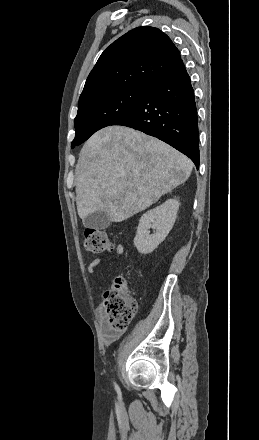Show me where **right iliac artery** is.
<instances>
[{"label": "right iliac artery", "instance_id": "82829eb1", "mask_svg": "<svg viewBox=\"0 0 259 440\" xmlns=\"http://www.w3.org/2000/svg\"><path fill=\"white\" fill-rule=\"evenodd\" d=\"M115 388L118 389V386L115 384Z\"/></svg>", "mask_w": 259, "mask_h": 440}]
</instances>
